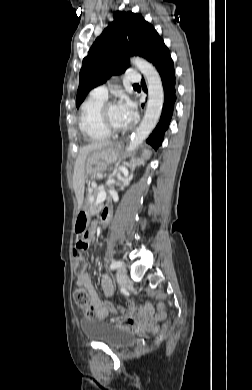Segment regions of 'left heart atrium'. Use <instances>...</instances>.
<instances>
[{"mask_svg":"<svg viewBox=\"0 0 252 390\" xmlns=\"http://www.w3.org/2000/svg\"><path fill=\"white\" fill-rule=\"evenodd\" d=\"M118 108L124 121L127 124H130L136 116V109L134 104L128 98L122 97L118 103Z\"/></svg>","mask_w":252,"mask_h":390,"instance_id":"obj_1","label":"left heart atrium"}]
</instances>
